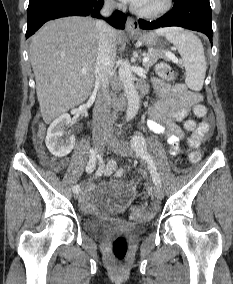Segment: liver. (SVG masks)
I'll list each match as a JSON object with an SVG mask.
<instances>
[{"instance_id":"1","label":"liver","mask_w":233,"mask_h":284,"mask_svg":"<svg viewBox=\"0 0 233 284\" xmlns=\"http://www.w3.org/2000/svg\"><path fill=\"white\" fill-rule=\"evenodd\" d=\"M113 32L116 44H121L123 33L116 29ZM97 55L96 21L88 17L49 21L32 37L30 61L45 123L88 98L94 85ZM82 69L87 72L82 73Z\"/></svg>"}]
</instances>
